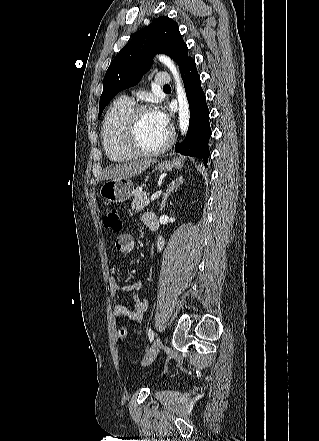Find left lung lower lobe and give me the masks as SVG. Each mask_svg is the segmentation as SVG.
<instances>
[{"label": "left lung lower lobe", "mask_w": 319, "mask_h": 441, "mask_svg": "<svg viewBox=\"0 0 319 441\" xmlns=\"http://www.w3.org/2000/svg\"><path fill=\"white\" fill-rule=\"evenodd\" d=\"M180 73L189 103L190 121L186 138L182 144L176 143L175 151L182 155L201 158L206 163L210 154L208 149L211 136L209 110L195 60L191 58Z\"/></svg>", "instance_id": "left-lung-lower-lobe-1"}]
</instances>
